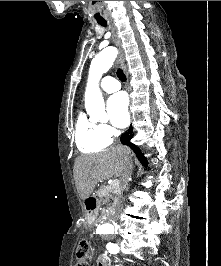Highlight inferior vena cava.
<instances>
[{
    "label": "inferior vena cava",
    "instance_id": "602c4592",
    "mask_svg": "<svg viewBox=\"0 0 221 266\" xmlns=\"http://www.w3.org/2000/svg\"><path fill=\"white\" fill-rule=\"evenodd\" d=\"M124 161H125V168L123 175L121 177V190L123 191L127 184H128V179L132 174V160L128 156H124Z\"/></svg>",
    "mask_w": 221,
    "mask_h": 266
}]
</instances>
